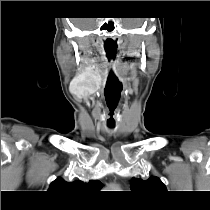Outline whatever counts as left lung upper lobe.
<instances>
[{
  "label": "left lung upper lobe",
  "instance_id": "obj_1",
  "mask_svg": "<svg viewBox=\"0 0 210 210\" xmlns=\"http://www.w3.org/2000/svg\"><path fill=\"white\" fill-rule=\"evenodd\" d=\"M131 189L140 193H156L166 190L162 181L155 176L150 177L148 180L133 178L130 184Z\"/></svg>",
  "mask_w": 210,
  "mask_h": 210
}]
</instances>
